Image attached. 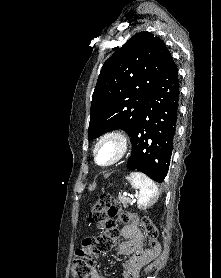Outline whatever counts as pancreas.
<instances>
[{
	"label": "pancreas",
	"instance_id": "cf45deb5",
	"mask_svg": "<svg viewBox=\"0 0 221 278\" xmlns=\"http://www.w3.org/2000/svg\"><path fill=\"white\" fill-rule=\"evenodd\" d=\"M128 203H130V200L126 197H120L119 198V205L123 208H127L128 207Z\"/></svg>",
	"mask_w": 221,
	"mask_h": 278
}]
</instances>
